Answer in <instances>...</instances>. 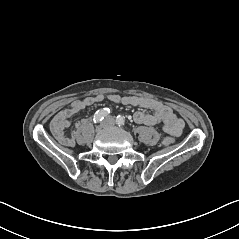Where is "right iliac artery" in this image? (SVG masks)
Instances as JSON below:
<instances>
[{
	"mask_svg": "<svg viewBox=\"0 0 239 239\" xmlns=\"http://www.w3.org/2000/svg\"><path fill=\"white\" fill-rule=\"evenodd\" d=\"M109 113H110L109 108H103L96 111L93 118L94 122L95 123L101 122Z\"/></svg>",
	"mask_w": 239,
	"mask_h": 239,
	"instance_id": "right-iliac-artery-1",
	"label": "right iliac artery"
}]
</instances>
